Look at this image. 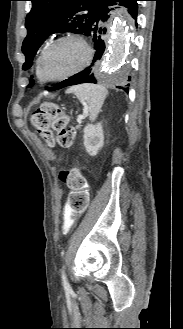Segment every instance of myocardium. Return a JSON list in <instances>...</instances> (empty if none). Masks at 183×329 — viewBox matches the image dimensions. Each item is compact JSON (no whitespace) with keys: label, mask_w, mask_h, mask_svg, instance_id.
<instances>
[{"label":"myocardium","mask_w":183,"mask_h":329,"mask_svg":"<svg viewBox=\"0 0 183 329\" xmlns=\"http://www.w3.org/2000/svg\"><path fill=\"white\" fill-rule=\"evenodd\" d=\"M69 39L77 40L80 43H82L83 46L85 47L86 52H87V55H86V58H85L83 64L80 67H78L77 69H75L73 71H70V72H68V73H66L64 75H61V76H58V77H54V78L47 77L45 75V72H44V61H45V58H46L47 53L56 44H58V43H60V42H62L64 40H69ZM93 56H94L93 49H92L91 45L87 42V40L85 38H83L82 36L77 35V34H65V35H62V36H60V37L52 40L42 50V53H41V56H40V60H39V73H40V76H41V78L45 82H57V81H62V80L68 79V78H70V77H72V76H74V75L82 72L83 70H85L89 66V64L91 63V61L93 59Z\"/></svg>","instance_id":"myocardium-1"}]
</instances>
